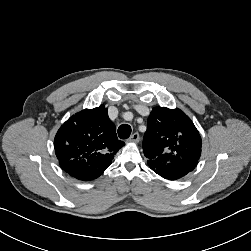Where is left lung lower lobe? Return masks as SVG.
<instances>
[{
	"mask_svg": "<svg viewBox=\"0 0 251 251\" xmlns=\"http://www.w3.org/2000/svg\"><path fill=\"white\" fill-rule=\"evenodd\" d=\"M147 162H148V165L150 166V168L154 172L159 174L161 177H163L165 179H169V180L179 179L194 169L191 167H184L183 170H173L172 168H170L168 166H155V164L153 163V160H151V159H148Z\"/></svg>",
	"mask_w": 251,
	"mask_h": 251,
	"instance_id": "left-lung-lower-lobe-1",
	"label": "left lung lower lobe"
}]
</instances>
